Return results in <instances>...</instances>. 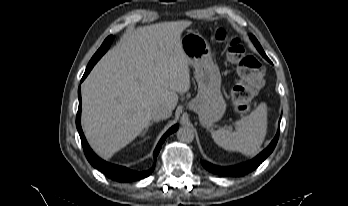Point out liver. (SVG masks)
<instances>
[{
	"label": "liver",
	"instance_id": "obj_1",
	"mask_svg": "<svg viewBox=\"0 0 348 206\" xmlns=\"http://www.w3.org/2000/svg\"><path fill=\"white\" fill-rule=\"evenodd\" d=\"M190 21L162 22L127 33L94 66L82 85V127L103 159L148 126L152 110L175 109L189 91V61L181 34Z\"/></svg>",
	"mask_w": 348,
	"mask_h": 206
}]
</instances>
